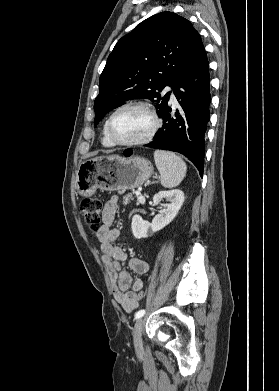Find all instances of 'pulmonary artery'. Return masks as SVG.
Instances as JSON below:
<instances>
[{"label": "pulmonary artery", "instance_id": "1", "mask_svg": "<svg viewBox=\"0 0 279 391\" xmlns=\"http://www.w3.org/2000/svg\"><path fill=\"white\" fill-rule=\"evenodd\" d=\"M165 90L171 92V101H172L173 103H176V98H175V96H174V93H173L171 87H166Z\"/></svg>", "mask_w": 279, "mask_h": 391}]
</instances>
